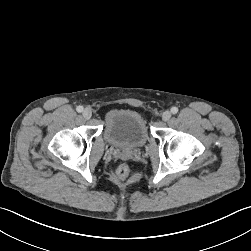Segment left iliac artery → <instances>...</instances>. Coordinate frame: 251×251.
<instances>
[{"label":"left iliac artery","mask_w":251,"mask_h":251,"mask_svg":"<svg viewBox=\"0 0 251 251\" xmlns=\"http://www.w3.org/2000/svg\"><path fill=\"white\" fill-rule=\"evenodd\" d=\"M171 112H172L173 114H176V113L178 112V108H177V107H172V108H171Z\"/></svg>","instance_id":"1"}]
</instances>
